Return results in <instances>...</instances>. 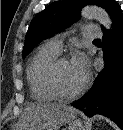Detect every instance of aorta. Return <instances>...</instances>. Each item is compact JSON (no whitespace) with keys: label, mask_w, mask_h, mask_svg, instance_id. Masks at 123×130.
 <instances>
[{"label":"aorta","mask_w":123,"mask_h":130,"mask_svg":"<svg viewBox=\"0 0 123 130\" xmlns=\"http://www.w3.org/2000/svg\"><path fill=\"white\" fill-rule=\"evenodd\" d=\"M82 16L88 19H96L102 24L107 30L111 29L112 21L108 13L97 6H86L82 9Z\"/></svg>","instance_id":"762f6f07"}]
</instances>
